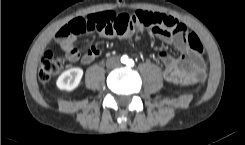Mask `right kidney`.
<instances>
[{
  "label": "right kidney",
  "instance_id": "ca27d5eb",
  "mask_svg": "<svg viewBox=\"0 0 245 145\" xmlns=\"http://www.w3.org/2000/svg\"><path fill=\"white\" fill-rule=\"evenodd\" d=\"M83 76L81 68H71L64 71L57 79L56 86L60 90L72 91L78 87Z\"/></svg>",
  "mask_w": 245,
  "mask_h": 145
}]
</instances>
